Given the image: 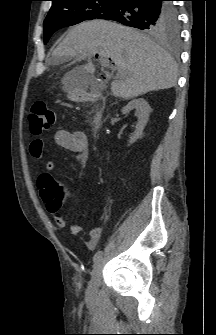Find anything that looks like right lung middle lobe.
Instances as JSON below:
<instances>
[{"label": "right lung middle lobe", "mask_w": 216, "mask_h": 335, "mask_svg": "<svg viewBox=\"0 0 216 335\" xmlns=\"http://www.w3.org/2000/svg\"><path fill=\"white\" fill-rule=\"evenodd\" d=\"M118 0H53L52 7L44 21V43L51 35L63 27L78 24L84 20L96 19L108 11ZM175 8V7H174ZM176 12V9L173 10ZM168 15V19H170ZM156 36L177 38L179 35V23L172 24L167 21L162 25Z\"/></svg>", "instance_id": "dd1d6c3e"}]
</instances>
